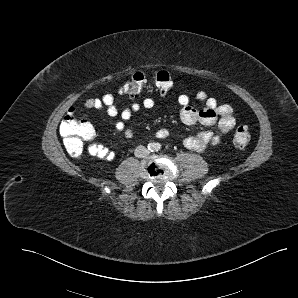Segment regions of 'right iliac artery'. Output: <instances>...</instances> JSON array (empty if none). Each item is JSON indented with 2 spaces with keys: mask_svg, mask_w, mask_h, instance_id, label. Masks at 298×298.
<instances>
[{
  "mask_svg": "<svg viewBox=\"0 0 298 298\" xmlns=\"http://www.w3.org/2000/svg\"><path fill=\"white\" fill-rule=\"evenodd\" d=\"M155 149V145L153 143L148 144V150L153 151Z\"/></svg>",
  "mask_w": 298,
  "mask_h": 298,
  "instance_id": "1",
  "label": "right iliac artery"
}]
</instances>
